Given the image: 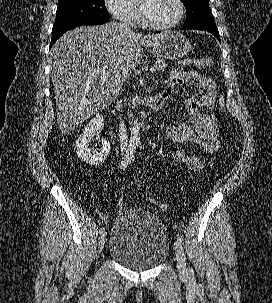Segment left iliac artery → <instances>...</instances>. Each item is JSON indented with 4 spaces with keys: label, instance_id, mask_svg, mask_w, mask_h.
Instances as JSON below:
<instances>
[{
    "label": "left iliac artery",
    "instance_id": "left-iliac-artery-1",
    "mask_svg": "<svg viewBox=\"0 0 272 303\" xmlns=\"http://www.w3.org/2000/svg\"><path fill=\"white\" fill-rule=\"evenodd\" d=\"M177 239H178V241L181 243V244H183V237L181 236V235H177Z\"/></svg>",
    "mask_w": 272,
    "mask_h": 303
}]
</instances>
